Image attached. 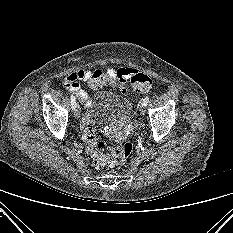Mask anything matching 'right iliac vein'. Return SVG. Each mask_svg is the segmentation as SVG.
Returning a JSON list of instances; mask_svg holds the SVG:
<instances>
[{"label": "right iliac vein", "instance_id": "1", "mask_svg": "<svg viewBox=\"0 0 233 233\" xmlns=\"http://www.w3.org/2000/svg\"><path fill=\"white\" fill-rule=\"evenodd\" d=\"M74 115H75V117H79V115H80V108H79V105L77 103L75 105Z\"/></svg>", "mask_w": 233, "mask_h": 233}]
</instances>
